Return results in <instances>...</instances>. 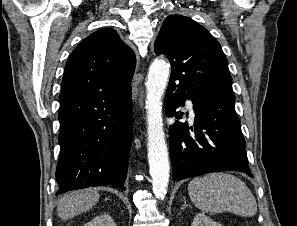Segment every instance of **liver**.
Instances as JSON below:
<instances>
[{
  "label": "liver",
  "mask_w": 297,
  "mask_h": 226,
  "mask_svg": "<svg viewBox=\"0 0 297 226\" xmlns=\"http://www.w3.org/2000/svg\"><path fill=\"white\" fill-rule=\"evenodd\" d=\"M99 193L94 189L75 191L64 195L57 206L58 216L69 220L91 209L99 200Z\"/></svg>",
  "instance_id": "obj_1"
}]
</instances>
